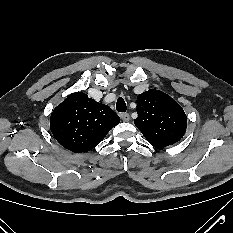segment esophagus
<instances>
[{
  "instance_id": "obj_1",
  "label": "esophagus",
  "mask_w": 233,
  "mask_h": 233,
  "mask_svg": "<svg viewBox=\"0 0 233 233\" xmlns=\"http://www.w3.org/2000/svg\"><path fill=\"white\" fill-rule=\"evenodd\" d=\"M121 118L123 121L128 122L130 120V115L128 113L121 114Z\"/></svg>"
}]
</instances>
